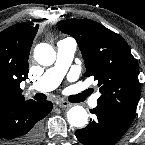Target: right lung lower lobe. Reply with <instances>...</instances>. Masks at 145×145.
Returning a JSON list of instances; mask_svg holds the SVG:
<instances>
[{"label":"right lung lower lobe","instance_id":"obj_1","mask_svg":"<svg viewBox=\"0 0 145 145\" xmlns=\"http://www.w3.org/2000/svg\"><path fill=\"white\" fill-rule=\"evenodd\" d=\"M50 101L16 100L0 103V140L7 145H36L41 122L51 110Z\"/></svg>","mask_w":145,"mask_h":145}]
</instances>
